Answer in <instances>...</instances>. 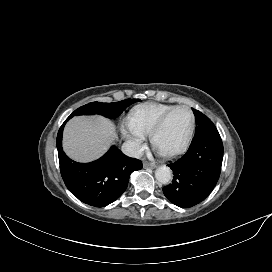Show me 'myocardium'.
Here are the masks:
<instances>
[{
    "label": "myocardium",
    "mask_w": 272,
    "mask_h": 272,
    "mask_svg": "<svg viewBox=\"0 0 272 272\" xmlns=\"http://www.w3.org/2000/svg\"><path fill=\"white\" fill-rule=\"evenodd\" d=\"M179 109H185L186 111H188V113L190 114V118H191L190 128H189V131H188V134H187L185 140L183 141V143L180 146H178L174 150L167 151V152L156 151L154 149L155 138L161 132V130L165 126L166 121L172 115V113H174L175 111H177ZM195 127H196V119H195V115H194L192 109L186 105L175 106L172 109H170L168 112H166L164 115H162V117L158 120V122L156 123V125L154 126L152 131L150 132V134H149L150 145L161 157L172 158V157L177 156L180 153L184 152L188 148V146L190 145V143L192 141V138H193V135L195 132Z\"/></svg>",
    "instance_id": "f54148a6"
}]
</instances>
